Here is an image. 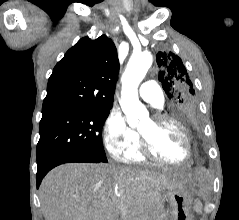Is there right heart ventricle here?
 <instances>
[{"label": "right heart ventricle", "mask_w": 239, "mask_h": 220, "mask_svg": "<svg viewBox=\"0 0 239 220\" xmlns=\"http://www.w3.org/2000/svg\"><path fill=\"white\" fill-rule=\"evenodd\" d=\"M123 159L130 163H143L146 161V157L142 154L139 145L126 152Z\"/></svg>", "instance_id": "right-heart-ventricle-1"}]
</instances>
